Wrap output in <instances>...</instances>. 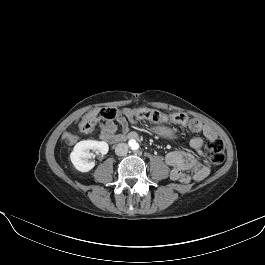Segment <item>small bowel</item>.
<instances>
[{"label":"small bowel","mask_w":265,"mask_h":265,"mask_svg":"<svg viewBox=\"0 0 265 265\" xmlns=\"http://www.w3.org/2000/svg\"><path fill=\"white\" fill-rule=\"evenodd\" d=\"M190 120L192 124L186 127L191 132H202L204 137L210 141L217 138L213 128L196 119ZM116 123L121 127L122 133L119 132ZM129 123L138 125L140 119L135 117L130 110L126 109L121 111L114 120H108L103 123L100 126L99 135L109 143L120 142L121 138L129 132ZM190 146L194 153L171 151L165 156V162L171 168L170 177L174 181L189 183L191 180H194L200 182L210 173L209 165L203 159L204 140L200 137H195L190 141Z\"/></svg>","instance_id":"small-bowel-1"}]
</instances>
